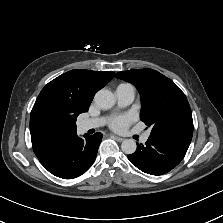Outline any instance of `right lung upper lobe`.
I'll use <instances>...</instances> for the list:
<instances>
[{"label":"right lung upper lobe","instance_id":"right-lung-upper-lobe-1","mask_svg":"<svg viewBox=\"0 0 223 223\" xmlns=\"http://www.w3.org/2000/svg\"><path fill=\"white\" fill-rule=\"evenodd\" d=\"M114 72L74 69L50 81L40 92L30 116V133L34 153L41 157L76 134V130L49 132L36 124L44 110L79 115L87 112L95 93L114 77Z\"/></svg>","mask_w":223,"mask_h":223}]
</instances>
